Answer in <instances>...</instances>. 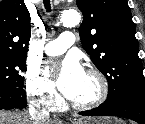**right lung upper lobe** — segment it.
Listing matches in <instances>:
<instances>
[{
  "label": "right lung upper lobe",
  "instance_id": "cb5924a9",
  "mask_svg": "<svg viewBox=\"0 0 145 124\" xmlns=\"http://www.w3.org/2000/svg\"><path fill=\"white\" fill-rule=\"evenodd\" d=\"M30 35V14L24 0L1 1L0 53L26 57Z\"/></svg>",
  "mask_w": 145,
  "mask_h": 124
}]
</instances>
